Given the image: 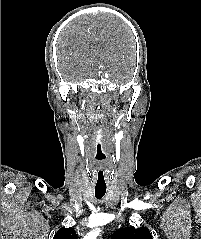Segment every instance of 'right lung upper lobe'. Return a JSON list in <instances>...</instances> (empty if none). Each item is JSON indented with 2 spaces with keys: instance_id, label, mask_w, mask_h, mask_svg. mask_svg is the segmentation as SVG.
<instances>
[{
  "instance_id": "obj_1",
  "label": "right lung upper lobe",
  "mask_w": 201,
  "mask_h": 239,
  "mask_svg": "<svg viewBox=\"0 0 201 239\" xmlns=\"http://www.w3.org/2000/svg\"><path fill=\"white\" fill-rule=\"evenodd\" d=\"M53 239H77L75 230L71 228H60Z\"/></svg>"
}]
</instances>
